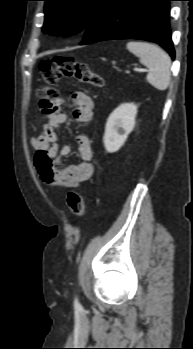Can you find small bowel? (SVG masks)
I'll use <instances>...</instances> for the list:
<instances>
[{"label":"small bowel","instance_id":"c3829d8e","mask_svg":"<svg viewBox=\"0 0 193 349\" xmlns=\"http://www.w3.org/2000/svg\"><path fill=\"white\" fill-rule=\"evenodd\" d=\"M68 100L73 105V118L76 122L86 124L92 120L94 102L89 94L74 91ZM42 115L45 120L44 125L39 134L30 138V143L35 150V166L40 178L53 186L78 187L94 174L90 139L84 134L77 135L76 144L80 162L64 165L63 160L70 154L71 147L60 146L58 140L59 128L65 123L67 115L60 107H55L51 113L42 111Z\"/></svg>","mask_w":193,"mask_h":349}]
</instances>
